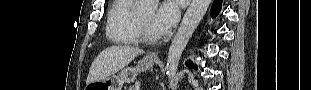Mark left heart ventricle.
Instances as JSON below:
<instances>
[{
    "mask_svg": "<svg viewBox=\"0 0 311 90\" xmlns=\"http://www.w3.org/2000/svg\"><path fill=\"white\" fill-rule=\"evenodd\" d=\"M140 18H141L142 22L145 24V26L147 27L150 34L153 36H158V34L151 27V22L153 19V12L141 15Z\"/></svg>",
    "mask_w": 311,
    "mask_h": 90,
    "instance_id": "left-heart-ventricle-1",
    "label": "left heart ventricle"
}]
</instances>
